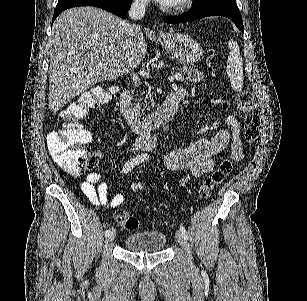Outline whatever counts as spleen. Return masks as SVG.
Instances as JSON below:
<instances>
[{
  "label": "spleen",
  "instance_id": "obj_1",
  "mask_svg": "<svg viewBox=\"0 0 307 301\" xmlns=\"http://www.w3.org/2000/svg\"><path fill=\"white\" fill-rule=\"evenodd\" d=\"M228 48L230 52L228 54V60L226 64L227 74L230 78L231 86L233 90L239 92L243 86V60L240 52L239 44L233 38L228 40Z\"/></svg>",
  "mask_w": 307,
  "mask_h": 301
}]
</instances>
